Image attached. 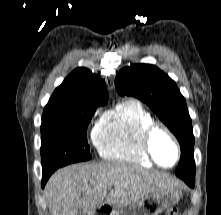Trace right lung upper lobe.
<instances>
[{
  "label": "right lung upper lobe",
  "instance_id": "1",
  "mask_svg": "<svg viewBox=\"0 0 221 215\" xmlns=\"http://www.w3.org/2000/svg\"><path fill=\"white\" fill-rule=\"evenodd\" d=\"M108 101L105 82L86 68H76L56 88L46 106L101 104Z\"/></svg>",
  "mask_w": 221,
  "mask_h": 215
}]
</instances>
